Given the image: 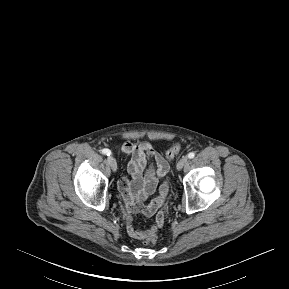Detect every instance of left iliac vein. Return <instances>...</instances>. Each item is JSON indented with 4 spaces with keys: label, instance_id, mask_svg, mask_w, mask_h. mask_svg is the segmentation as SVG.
Segmentation results:
<instances>
[{
    "label": "left iliac vein",
    "instance_id": "4c4485c4",
    "mask_svg": "<svg viewBox=\"0 0 289 289\" xmlns=\"http://www.w3.org/2000/svg\"><path fill=\"white\" fill-rule=\"evenodd\" d=\"M188 158L186 156H183L177 163L176 168L177 170H181L185 164L187 163Z\"/></svg>",
    "mask_w": 289,
    "mask_h": 289
}]
</instances>
